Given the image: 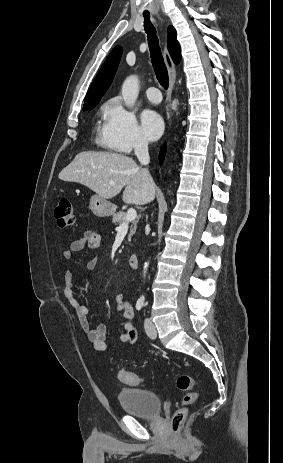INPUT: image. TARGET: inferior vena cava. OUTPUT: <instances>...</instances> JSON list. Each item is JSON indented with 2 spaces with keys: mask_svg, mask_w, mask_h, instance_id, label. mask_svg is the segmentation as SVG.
<instances>
[{
  "mask_svg": "<svg viewBox=\"0 0 283 463\" xmlns=\"http://www.w3.org/2000/svg\"><path fill=\"white\" fill-rule=\"evenodd\" d=\"M134 152L137 156L141 165H147L150 162V156L148 152V141L144 138H137L134 143ZM146 172V179L148 182H153L152 177L147 169Z\"/></svg>",
  "mask_w": 283,
  "mask_h": 463,
  "instance_id": "inferior-vena-cava-1",
  "label": "inferior vena cava"
}]
</instances>
